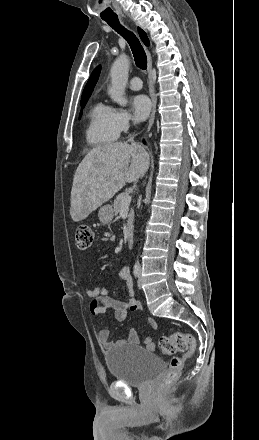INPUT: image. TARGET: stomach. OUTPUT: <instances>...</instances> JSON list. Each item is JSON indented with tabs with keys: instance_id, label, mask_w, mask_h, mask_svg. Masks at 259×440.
Returning <instances> with one entry per match:
<instances>
[{
	"instance_id": "0dacf381",
	"label": "stomach",
	"mask_w": 259,
	"mask_h": 440,
	"mask_svg": "<svg viewBox=\"0 0 259 440\" xmlns=\"http://www.w3.org/2000/svg\"><path fill=\"white\" fill-rule=\"evenodd\" d=\"M98 217L103 225L109 224L114 217V210L111 205H104L98 211Z\"/></svg>"
}]
</instances>
